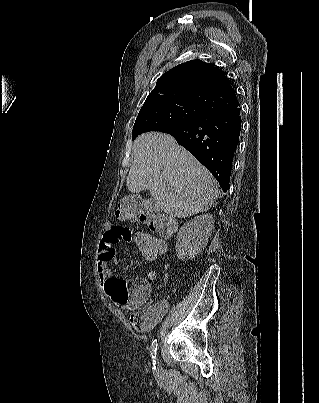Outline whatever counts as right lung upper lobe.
<instances>
[{"label":"right lung upper lobe","instance_id":"cb5924a9","mask_svg":"<svg viewBox=\"0 0 319 403\" xmlns=\"http://www.w3.org/2000/svg\"><path fill=\"white\" fill-rule=\"evenodd\" d=\"M160 103H192L210 112L239 106L223 71L202 60L187 61L163 74L142 108Z\"/></svg>","mask_w":319,"mask_h":403}]
</instances>
